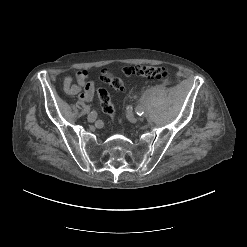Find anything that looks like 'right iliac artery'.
<instances>
[{
    "mask_svg": "<svg viewBox=\"0 0 247 247\" xmlns=\"http://www.w3.org/2000/svg\"><path fill=\"white\" fill-rule=\"evenodd\" d=\"M83 111H84L85 113H88V112L90 111L89 106H85V107L83 108ZM95 119H96V118H95Z\"/></svg>",
    "mask_w": 247,
    "mask_h": 247,
    "instance_id": "right-iliac-artery-1",
    "label": "right iliac artery"
}]
</instances>
